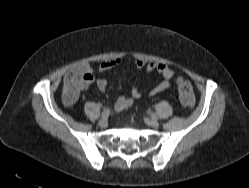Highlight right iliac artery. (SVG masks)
<instances>
[{
  "instance_id": "1",
  "label": "right iliac artery",
  "mask_w": 249,
  "mask_h": 188,
  "mask_svg": "<svg viewBox=\"0 0 249 188\" xmlns=\"http://www.w3.org/2000/svg\"><path fill=\"white\" fill-rule=\"evenodd\" d=\"M110 114V110L108 108H105L101 114L102 118H107Z\"/></svg>"
}]
</instances>
